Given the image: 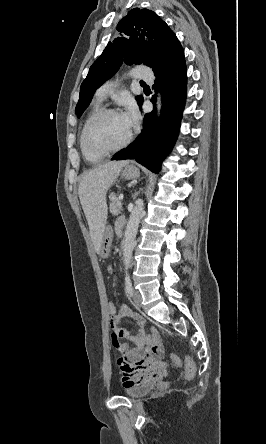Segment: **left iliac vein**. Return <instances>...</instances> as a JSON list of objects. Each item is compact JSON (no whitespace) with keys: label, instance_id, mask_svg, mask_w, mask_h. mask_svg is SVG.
<instances>
[{"label":"left iliac vein","instance_id":"4c4485c4","mask_svg":"<svg viewBox=\"0 0 266 444\" xmlns=\"http://www.w3.org/2000/svg\"><path fill=\"white\" fill-rule=\"evenodd\" d=\"M133 301H134V304H135L137 307L140 308V307L142 306V297H141L140 292L137 291V290H135V291L133 292Z\"/></svg>","mask_w":266,"mask_h":444}]
</instances>
